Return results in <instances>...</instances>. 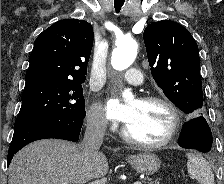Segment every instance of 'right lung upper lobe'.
Masks as SVG:
<instances>
[{
    "instance_id": "cb5924a9",
    "label": "right lung upper lobe",
    "mask_w": 224,
    "mask_h": 184,
    "mask_svg": "<svg viewBox=\"0 0 224 184\" xmlns=\"http://www.w3.org/2000/svg\"><path fill=\"white\" fill-rule=\"evenodd\" d=\"M93 36L92 25L77 19L57 21L44 30L34 42L26 84L84 82Z\"/></svg>"
}]
</instances>
